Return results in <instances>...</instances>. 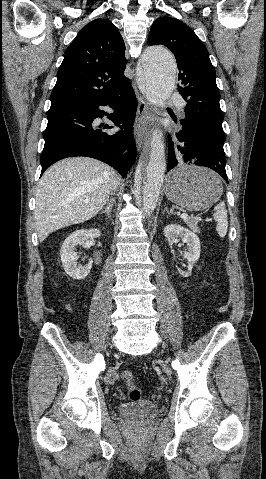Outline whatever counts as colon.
Wrapping results in <instances>:
<instances>
[{"mask_svg":"<svg viewBox=\"0 0 266 479\" xmlns=\"http://www.w3.org/2000/svg\"><path fill=\"white\" fill-rule=\"evenodd\" d=\"M121 379L126 383L129 387V398L132 401H138L141 397V393L138 388H136L133 384V373L130 370H124L121 373Z\"/></svg>","mask_w":266,"mask_h":479,"instance_id":"obj_1","label":"colon"}]
</instances>
